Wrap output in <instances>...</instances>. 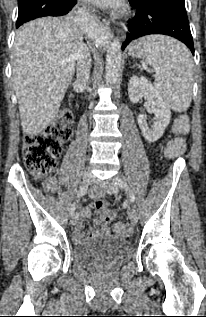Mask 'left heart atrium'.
Returning a JSON list of instances; mask_svg holds the SVG:
<instances>
[{
  "label": "left heart atrium",
  "mask_w": 206,
  "mask_h": 317,
  "mask_svg": "<svg viewBox=\"0 0 206 317\" xmlns=\"http://www.w3.org/2000/svg\"><path fill=\"white\" fill-rule=\"evenodd\" d=\"M98 6L112 8L119 4L120 0H87Z\"/></svg>",
  "instance_id": "left-heart-atrium-1"
}]
</instances>
